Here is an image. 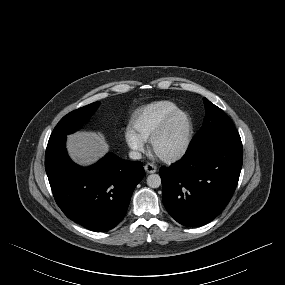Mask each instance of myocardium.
<instances>
[{"label": "myocardium", "instance_id": "1", "mask_svg": "<svg viewBox=\"0 0 285 285\" xmlns=\"http://www.w3.org/2000/svg\"><path fill=\"white\" fill-rule=\"evenodd\" d=\"M178 116H184L186 118V121H187V130H186V135H185L183 144L174 153L161 154L157 150L158 141L165 134V132L167 131V129L169 128V126L171 125L173 120L175 118H177ZM193 135H194V124H193L192 117L190 116V114L187 111H185L183 109H178V110L172 112L171 114H169L163 120V122L160 124V126L156 129V131L152 134V136L150 138L151 150L158 158H160L161 160H163L165 162L178 161V160L182 159L187 154V152L189 151L192 140H193Z\"/></svg>", "mask_w": 285, "mask_h": 285}]
</instances>
